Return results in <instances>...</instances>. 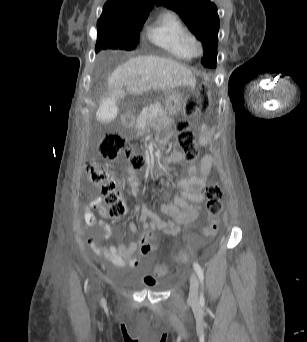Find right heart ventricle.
I'll list each match as a JSON object with an SVG mask.
<instances>
[{
	"mask_svg": "<svg viewBox=\"0 0 307 342\" xmlns=\"http://www.w3.org/2000/svg\"><path fill=\"white\" fill-rule=\"evenodd\" d=\"M192 33L189 22L177 11H169L165 15L162 29L144 37L161 51L177 60H190L187 40Z\"/></svg>",
	"mask_w": 307,
	"mask_h": 342,
	"instance_id": "right-heart-ventricle-1",
	"label": "right heart ventricle"
}]
</instances>
